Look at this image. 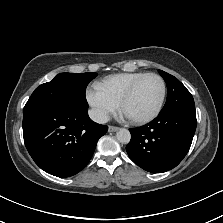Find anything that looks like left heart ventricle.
<instances>
[{
	"label": "left heart ventricle",
	"mask_w": 223,
	"mask_h": 223,
	"mask_svg": "<svg viewBox=\"0 0 223 223\" xmlns=\"http://www.w3.org/2000/svg\"><path fill=\"white\" fill-rule=\"evenodd\" d=\"M161 95L160 81L155 77L146 78L132 97L121 108L123 115L142 118L151 114L156 108Z\"/></svg>",
	"instance_id": "left-heart-ventricle-1"
}]
</instances>
